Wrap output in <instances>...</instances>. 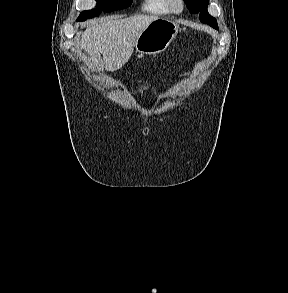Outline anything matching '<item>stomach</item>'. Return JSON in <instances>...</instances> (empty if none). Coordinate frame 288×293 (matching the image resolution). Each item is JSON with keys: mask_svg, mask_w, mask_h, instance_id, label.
<instances>
[{"mask_svg": "<svg viewBox=\"0 0 288 293\" xmlns=\"http://www.w3.org/2000/svg\"><path fill=\"white\" fill-rule=\"evenodd\" d=\"M179 25L166 19L158 18L151 22L138 36L135 50L140 55H156L167 49L175 39Z\"/></svg>", "mask_w": 288, "mask_h": 293, "instance_id": "stomach-1", "label": "stomach"}]
</instances>
